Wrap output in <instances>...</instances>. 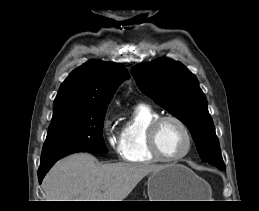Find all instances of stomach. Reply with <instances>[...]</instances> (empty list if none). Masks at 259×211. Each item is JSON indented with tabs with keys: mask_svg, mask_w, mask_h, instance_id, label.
I'll use <instances>...</instances> for the list:
<instances>
[{
	"mask_svg": "<svg viewBox=\"0 0 259 211\" xmlns=\"http://www.w3.org/2000/svg\"><path fill=\"white\" fill-rule=\"evenodd\" d=\"M209 193L207 182L181 164L165 165L148 178L150 201H203Z\"/></svg>",
	"mask_w": 259,
	"mask_h": 211,
	"instance_id": "obj_1",
	"label": "stomach"
}]
</instances>
